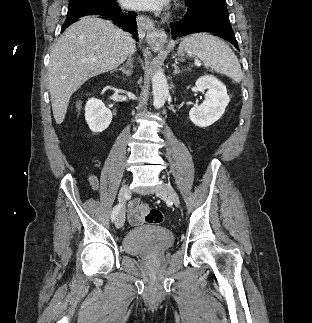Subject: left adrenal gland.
<instances>
[{
  "mask_svg": "<svg viewBox=\"0 0 312 323\" xmlns=\"http://www.w3.org/2000/svg\"><path fill=\"white\" fill-rule=\"evenodd\" d=\"M172 66H173V68H174V72H173V74H179L180 70H179V68H178L177 64H172Z\"/></svg>",
  "mask_w": 312,
  "mask_h": 323,
  "instance_id": "obj_1",
  "label": "left adrenal gland"
}]
</instances>
